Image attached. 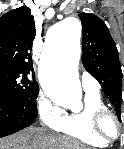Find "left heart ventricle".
I'll return each instance as SVG.
<instances>
[{"mask_svg": "<svg viewBox=\"0 0 124 149\" xmlns=\"http://www.w3.org/2000/svg\"><path fill=\"white\" fill-rule=\"evenodd\" d=\"M106 127H107V130L110 132V133H114L115 132V124L114 122L112 121H108L107 124H106Z\"/></svg>", "mask_w": 124, "mask_h": 149, "instance_id": "1", "label": "left heart ventricle"}]
</instances>
